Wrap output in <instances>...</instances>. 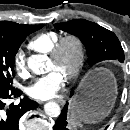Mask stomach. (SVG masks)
Wrapping results in <instances>:
<instances>
[{
	"instance_id": "1",
	"label": "stomach",
	"mask_w": 130,
	"mask_h": 130,
	"mask_svg": "<svg viewBox=\"0 0 130 130\" xmlns=\"http://www.w3.org/2000/svg\"><path fill=\"white\" fill-rule=\"evenodd\" d=\"M117 94L113 75L104 68L97 69L83 81L79 95L73 100L71 115L85 123H95L111 111Z\"/></svg>"
}]
</instances>
